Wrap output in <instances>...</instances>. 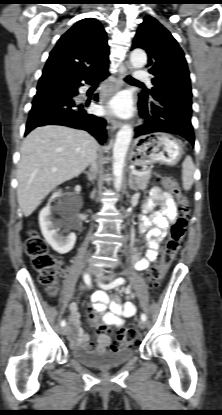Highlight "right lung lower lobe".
I'll return each instance as SVG.
<instances>
[{"label":"right lung lower lobe","instance_id":"right-lung-lower-lobe-1","mask_svg":"<svg viewBox=\"0 0 222 415\" xmlns=\"http://www.w3.org/2000/svg\"><path fill=\"white\" fill-rule=\"evenodd\" d=\"M109 75L108 69L91 75L78 76L57 69H44L32 102L25 135L38 126L63 125L83 129L94 136L100 144L106 139V121L89 114L85 104H78L75 96L82 81L93 85ZM98 100L97 94L94 96Z\"/></svg>","mask_w":222,"mask_h":415}]
</instances>
